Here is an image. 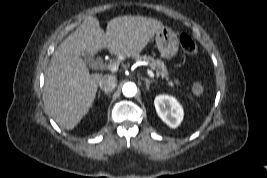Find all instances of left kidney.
<instances>
[{"instance_id":"left-kidney-1","label":"left kidney","mask_w":267,"mask_h":178,"mask_svg":"<svg viewBox=\"0 0 267 178\" xmlns=\"http://www.w3.org/2000/svg\"><path fill=\"white\" fill-rule=\"evenodd\" d=\"M154 105L158 116L169 127L176 128L183 119V109L176 98L169 95L155 97Z\"/></svg>"}]
</instances>
